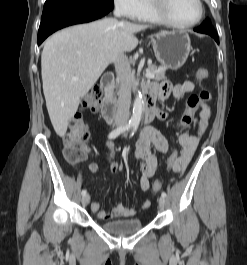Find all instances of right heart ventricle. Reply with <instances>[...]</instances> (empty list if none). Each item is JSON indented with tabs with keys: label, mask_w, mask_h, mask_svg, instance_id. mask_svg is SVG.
<instances>
[{
	"label": "right heart ventricle",
	"mask_w": 247,
	"mask_h": 265,
	"mask_svg": "<svg viewBox=\"0 0 247 265\" xmlns=\"http://www.w3.org/2000/svg\"><path fill=\"white\" fill-rule=\"evenodd\" d=\"M144 3H145V8L141 16L137 20L149 22V23H161V21L152 12L150 8L149 0H144Z\"/></svg>",
	"instance_id": "obj_1"
}]
</instances>
